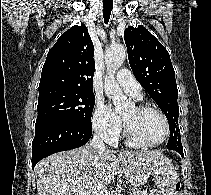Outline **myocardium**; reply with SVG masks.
Instances as JSON below:
<instances>
[{
    "instance_id": "obj_1",
    "label": "myocardium",
    "mask_w": 211,
    "mask_h": 195,
    "mask_svg": "<svg viewBox=\"0 0 211 195\" xmlns=\"http://www.w3.org/2000/svg\"><path fill=\"white\" fill-rule=\"evenodd\" d=\"M138 111L140 112H155L157 114H159L163 121H164V124H165V135L164 137L158 141V142H154V143H147V142H143L142 140H140L134 133V131L132 130L131 126L129 125V123L125 120V118H123V123H124V133H125V136L127 137V139L133 143L134 145L138 146V147H156V146H159L161 144H163L169 137L170 135V123H169V120L167 118V116L165 115V113L156 108V107H153V106H149V105H137L135 107Z\"/></svg>"
}]
</instances>
